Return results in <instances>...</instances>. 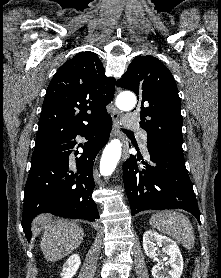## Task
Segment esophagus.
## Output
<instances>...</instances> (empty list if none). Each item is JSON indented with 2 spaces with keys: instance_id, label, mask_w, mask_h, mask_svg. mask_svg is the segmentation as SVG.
<instances>
[{
  "instance_id": "esophagus-1",
  "label": "esophagus",
  "mask_w": 221,
  "mask_h": 278,
  "mask_svg": "<svg viewBox=\"0 0 221 278\" xmlns=\"http://www.w3.org/2000/svg\"><path fill=\"white\" fill-rule=\"evenodd\" d=\"M119 117H120V111L117 108H113V110H112V119H113L112 135L115 137L121 136V132L119 130ZM126 158H127V153H126V149L124 147L122 160L125 161Z\"/></svg>"
}]
</instances>
